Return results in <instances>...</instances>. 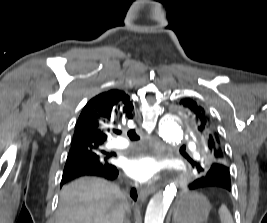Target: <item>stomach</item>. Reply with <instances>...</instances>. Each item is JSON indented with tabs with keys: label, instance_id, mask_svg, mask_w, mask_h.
Returning a JSON list of instances; mask_svg holds the SVG:
<instances>
[{
	"label": "stomach",
	"instance_id": "1",
	"mask_svg": "<svg viewBox=\"0 0 267 223\" xmlns=\"http://www.w3.org/2000/svg\"><path fill=\"white\" fill-rule=\"evenodd\" d=\"M210 209V203L204 195L198 192L185 193L175 206L173 221L174 223H204Z\"/></svg>",
	"mask_w": 267,
	"mask_h": 223
}]
</instances>
